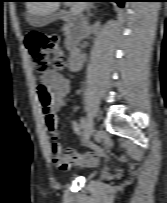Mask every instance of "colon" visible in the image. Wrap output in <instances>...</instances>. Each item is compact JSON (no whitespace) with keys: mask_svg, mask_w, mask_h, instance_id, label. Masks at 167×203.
I'll use <instances>...</instances> for the list:
<instances>
[{"mask_svg":"<svg viewBox=\"0 0 167 203\" xmlns=\"http://www.w3.org/2000/svg\"><path fill=\"white\" fill-rule=\"evenodd\" d=\"M25 47L31 58L33 68L37 72H47L50 69L61 70L66 66L63 49L55 37L30 33L26 37ZM38 93L43 108H46L52 99V94L44 82L38 84Z\"/></svg>","mask_w":167,"mask_h":203,"instance_id":"colon-1","label":"colon"}]
</instances>
